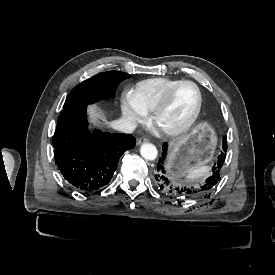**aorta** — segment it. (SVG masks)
<instances>
[{"instance_id": "obj_1", "label": "aorta", "mask_w": 275, "mask_h": 275, "mask_svg": "<svg viewBox=\"0 0 275 275\" xmlns=\"http://www.w3.org/2000/svg\"><path fill=\"white\" fill-rule=\"evenodd\" d=\"M140 154L146 160H155L158 155V151L155 145L151 143H144L140 147Z\"/></svg>"}]
</instances>
